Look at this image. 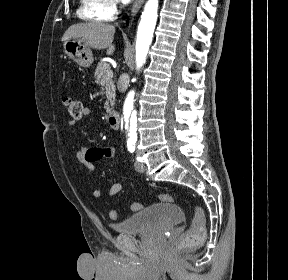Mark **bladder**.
<instances>
[{"instance_id":"31cf9c89","label":"bladder","mask_w":288,"mask_h":280,"mask_svg":"<svg viewBox=\"0 0 288 280\" xmlns=\"http://www.w3.org/2000/svg\"><path fill=\"white\" fill-rule=\"evenodd\" d=\"M184 220L183 210L170 203L153 204L113 225L121 234H136L168 229Z\"/></svg>"}]
</instances>
